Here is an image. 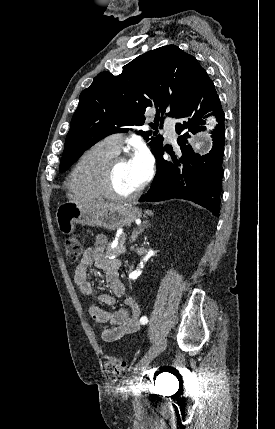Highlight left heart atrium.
I'll return each mask as SVG.
<instances>
[{
	"instance_id": "left-heart-atrium-1",
	"label": "left heart atrium",
	"mask_w": 275,
	"mask_h": 429,
	"mask_svg": "<svg viewBox=\"0 0 275 429\" xmlns=\"http://www.w3.org/2000/svg\"><path fill=\"white\" fill-rule=\"evenodd\" d=\"M130 162L134 168L138 183L142 185L148 179L152 168V160L148 150L140 147L136 150Z\"/></svg>"
}]
</instances>
